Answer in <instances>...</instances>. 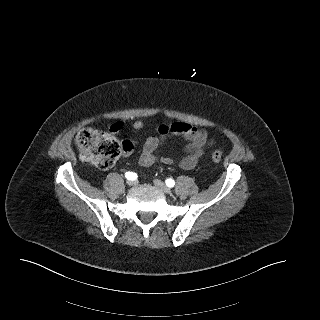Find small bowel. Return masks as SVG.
Wrapping results in <instances>:
<instances>
[{
  "label": "small bowel",
  "instance_id": "c3829d8e",
  "mask_svg": "<svg viewBox=\"0 0 320 320\" xmlns=\"http://www.w3.org/2000/svg\"><path fill=\"white\" fill-rule=\"evenodd\" d=\"M120 127V124L116 123L112 125L111 131L118 132ZM143 127L144 123L141 120L135 121L132 125L135 132H140ZM170 136H180L186 141L183 150L184 156L178 161L179 167L184 170L195 168L205 151L214 144L205 130L181 122L162 124L157 128V135H150L145 139L143 150L139 157V164L143 167H149L157 162L168 165L175 163L174 158L168 156L160 157L157 154V150L163 141ZM123 142H128L132 146L127 140ZM130 151L124 153L129 154Z\"/></svg>",
  "mask_w": 320,
  "mask_h": 320
}]
</instances>
